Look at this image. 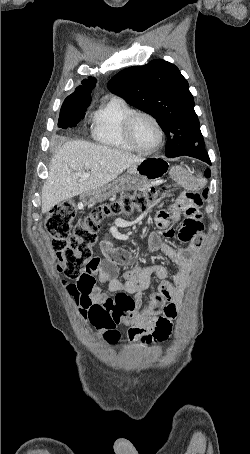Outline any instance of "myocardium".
Here are the masks:
<instances>
[{
    "mask_svg": "<svg viewBox=\"0 0 250 454\" xmlns=\"http://www.w3.org/2000/svg\"><path fill=\"white\" fill-rule=\"evenodd\" d=\"M140 117H145V118L150 119L158 130V133H159L158 143L151 149L141 148L134 139V133H133L134 124H135L136 120ZM123 130H124V136H125L127 143L133 148V150H135L139 153H142V154H153V153L157 152L162 147L164 140H165V132H164V129H163L161 123L153 114L146 112V111H134L131 114H129L124 120Z\"/></svg>",
    "mask_w": 250,
    "mask_h": 454,
    "instance_id": "1",
    "label": "myocardium"
}]
</instances>
